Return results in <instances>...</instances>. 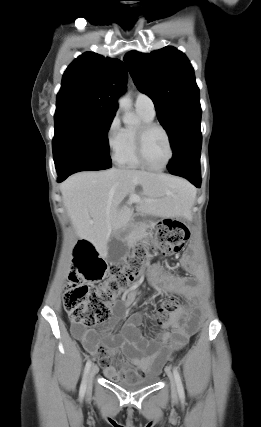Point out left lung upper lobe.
<instances>
[{
    "instance_id": "left-lung-upper-lobe-1",
    "label": "left lung upper lobe",
    "mask_w": 261,
    "mask_h": 427,
    "mask_svg": "<svg viewBox=\"0 0 261 427\" xmlns=\"http://www.w3.org/2000/svg\"><path fill=\"white\" fill-rule=\"evenodd\" d=\"M124 61L137 88L153 100L172 147L184 131L200 126L199 88L184 53L167 46L150 54L130 51Z\"/></svg>"
}]
</instances>
